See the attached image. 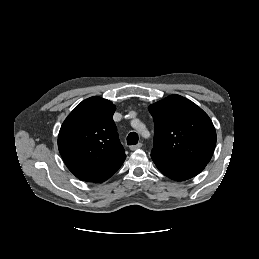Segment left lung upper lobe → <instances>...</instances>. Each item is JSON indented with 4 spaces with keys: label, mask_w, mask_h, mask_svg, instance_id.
Listing matches in <instances>:
<instances>
[{
    "label": "left lung upper lobe",
    "mask_w": 259,
    "mask_h": 259,
    "mask_svg": "<svg viewBox=\"0 0 259 259\" xmlns=\"http://www.w3.org/2000/svg\"><path fill=\"white\" fill-rule=\"evenodd\" d=\"M154 118L151 153L185 162L208 163L216 145V132L209 116L192 101L171 95L149 106Z\"/></svg>",
    "instance_id": "obj_1"
}]
</instances>
